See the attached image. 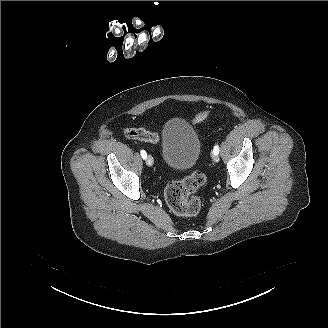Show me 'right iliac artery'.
Here are the masks:
<instances>
[{
    "label": "right iliac artery",
    "mask_w": 328,
    "mask_h": 328,
    "mask_svg": "<svg viewBox=\"0 0 328 328\" xmlns=\"http://www.w3.org/2000/svg\"><path fill=\"white\" fill-rule=\"evenodd\" d=\"M141 156H142V158L143 159H146V157H147V153L144 151V150H141Z\"/></svg>",
    "instance_id": "right-iliac-artery-1"
}]
</instances>
